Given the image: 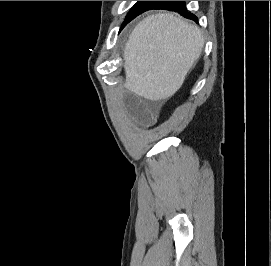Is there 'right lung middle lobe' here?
Returning <instances> with one entry per match:
<instances>
[{
  "instance_id": "right-lung-middle-lobe-1",
  "label": "right lung middle lobe",
  "mask_w": 271,
  "mask_h": 266,
  "mask_svg": "<svg viewBox=\"0 0 271 266\" xmlns=\"http://www.w3.org/2000/svg\"><path fill=\"white\" fill-rule=\"evenodd\" d=\"M160 1H138L133 8L130 10V12L127 14L125 22L122 25V28L130 22L132 19H134L136 16L140 15L141 13L152 9L154 6H156ZM121 28V29H122Z\"/></svg>"
}]
</instances>
